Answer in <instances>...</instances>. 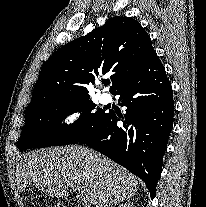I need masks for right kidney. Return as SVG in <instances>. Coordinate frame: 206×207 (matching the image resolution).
I'll return each mask as SVG.
<instances>
[{"mask_svg": "<svg viewBox=\"0 0 206 207\" xmlns=\"http://www.w3.org/2000/svg\"><path fill=\"white\" fill-rule=\"evenodd\" d=\"M118 207H134V206L133 203L131 204L130 202H128V203L120 204Z\"/></svg>", "mask_w": 206, "mask_h": 207, "instance_id": "obj_1", "label": "right kidney"}]
</instances>
